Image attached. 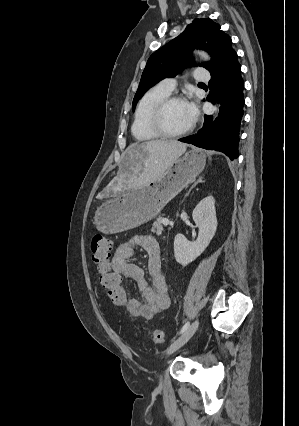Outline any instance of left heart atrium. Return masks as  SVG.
Masks as SVG:
<instances>
[{"label": "left heart atrium", "instance_id": "1", "mask_svg": "<svg viewBox=\"0 0 299 426\" xmlns=\"http://www.w3.org/2000/svg\"><path fill=\"white\" fill-rule=\"evenodd\" d=\"M187 110L191 121H194L197 117V107L194 102H186Z\"/></svg>", "mask_w": 299, "mask_h": 426}]
</instances>
